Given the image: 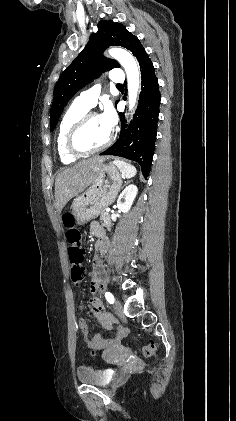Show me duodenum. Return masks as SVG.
<instances>
[{
    "label": "duodenum",
    "instance_id": "duodenum-1",
    "mask_svg": "<svg viewBox=\"0 0 236 421\" xmlns=\"http://www.w3.org/2000/svg\"><path fill=\"white\" fill-rule=\"evenodd\" d=\"M97 236L99 237V241L97 243V248L98 250H100L102 253L107 251L108 245H109V240L107 239V237L104 235V231H99L97 233ZM105 269L102 265V262L100 260H96L94 262V267H93V280L95 282L96 285L101 286L103 285L104 281H105ZM92 310H94L95 312H99V309L97 307H93ZM102 325L106 328L109 327V321H107L104 317H101L100 319ZM82 332L87 335V327L83 326L82 327ZM96 342L99 345H109L111 344V342H113V340H103L101 338H96L95 339Z\"/></svg>",
    "mask_w": 236,
    "mask_h": 421
}]
</instances>
